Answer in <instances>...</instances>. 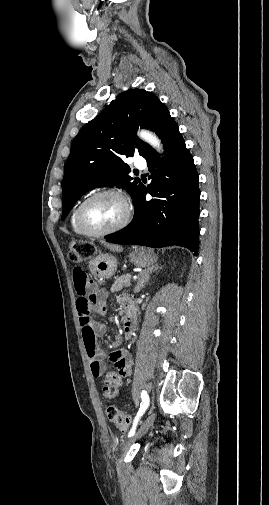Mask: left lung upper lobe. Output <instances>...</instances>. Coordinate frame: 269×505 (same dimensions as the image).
I'll return each instance as SVG.
<instances>
[{"instance_id":"left-lung-upper-lobe-1","label":"left lung upper lobe","mask_w":269,"mask_h":505,"mask_svg":"<svg viewBox=\"0 0 269 505\" xmlns=\"http://www.w3.org/2000/svg\"><path fill=\"white\" fill-rule=\"evenodd\" d=\"M169 113L153 93L131 89L117 95L102 113L82 127L75 137L64 166L62 219L86 192L101 186L126 188L133 202L142 183L128 174L122 161L135 152L145 156L150 148L139 140L140 128L155 131Z\"/></svg>"}]
</instances>
